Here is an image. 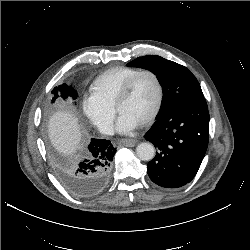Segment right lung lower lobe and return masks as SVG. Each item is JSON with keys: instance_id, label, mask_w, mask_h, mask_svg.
<instances>
[{"instance_id": "1", "label": "right lung lower lobe", "mask_w": 250, "mask_h": 250, "mask_svg": "<svg viewBox=\"0 0 250 250\" xmlns=\"http://www.w3.org/2000/svg\"><path fill=\"white\" fill-rule=\"evenodd\" d=\"M115 153L109 140L92 138L82 161L64 171L70 190L80 197L100 193L108 182Z\"/></svg>"}]
</instances>
